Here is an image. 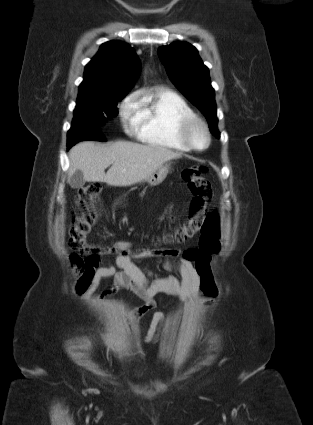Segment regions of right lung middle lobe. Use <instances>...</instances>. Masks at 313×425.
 Listing matches in <instances>:
<instances>
[{
    "instance_id": "dd1d6c3e",
    "label": "right lung middle lobe",
    "mask_w": 313,
    "mask_h": 425,
    "mask_svg": "<svg viewBox=\"0 0 313 425\" xmlns=\"http://www.w3.org/2000/svg\"><path fill=\"white\" fill-rule=\"evenodd\" d=\"M125 96L126 93L117 92L100 98L78 100L71 127L78 125L79 121H89L96 125L105 123L108 118L118 114L117 103Z\"/></svg>"
}]
</instances>
